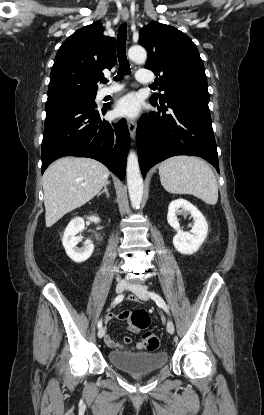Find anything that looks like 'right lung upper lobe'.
<instances>
[{"label": "right lung upper lobe", "instance_id": "cb5924a9", "mask_svg": "<svg viewBox=\"0 0 264 415\" xmlns=\"http://www.w3.org/2000/svg\"><path fill=\"white\" fill-rule=\"evenodd\" d=\"M100 21L85 26L60 46L50 74L48 99L96 94L102 70L116 63L115 39L103 35Z\"/></svg>", "mask_w": 264, "mask_h": 415}]
</instances>
